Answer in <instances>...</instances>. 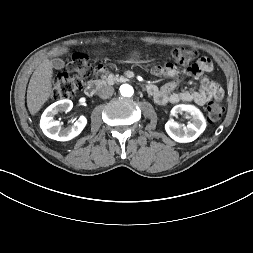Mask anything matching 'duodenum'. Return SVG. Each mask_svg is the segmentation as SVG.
<instances>
[{"label":"duodenum","mask_w":253,"mask_h":253,"mask_svg":"<svg viewBox=\"0 0 253 253\" xmlns=\"http://www.w3.org/2000/svg\"><path fill=\"white\" fill-rule=\"evenodd\" d=\"M109 80L107 79H97L92 82H90L86 87H85V94L87 96H94L98 90L105 85Z\"/></svg>","instance_id":"410a0bca"}]
</instances>
